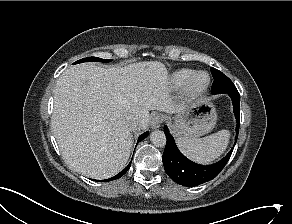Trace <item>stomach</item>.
<instances>
[{"instance_id":"stomach-1","label":"stomach","mask_w":292,"mask_h":224,"mask_svg":"<svg viewBox=\"0 0 292 224\" xmlns=\"http://www.w3.org/2000/svg\"><path fill=\"white\" fill-rule=\"evenodd\" d=\"M216 122L215 104L210 98L202 97L177 113L172 129L177 137L198 138L213 130Z\"/></svg>"}]
</instances>
